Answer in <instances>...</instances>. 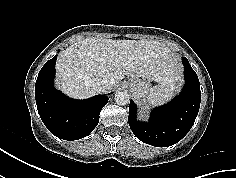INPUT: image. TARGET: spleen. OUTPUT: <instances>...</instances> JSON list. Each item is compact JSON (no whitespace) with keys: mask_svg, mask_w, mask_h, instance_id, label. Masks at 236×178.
I'll return each instance as SVG.
<instances>
[{"mask_svg":"<svg viewBox=\"0 0 236 178\" xmlns=\"http://www.w3.org/2000/svg\"><path fill=\"white\" fill-rule=\"evenodd\" d=\"M172 84H160L153 87L150 90L149 96L147 97L150 106H159L165 102L171 100L174 95Z\"/></svg>","mask_w":236,"mask_h":178,"instance_id":"spleen-1","label":"spleen"}]
</instances>
